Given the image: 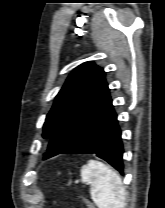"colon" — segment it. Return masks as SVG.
<instances>
[{"label":"colon","mask_w":165,"mask_h":208,"mask_svg":"<svg viewBox=\"0 0 165 208\" xmlns=\"http://www.w3.org/2000/svg\"><path fill=\"white\" fill-rule=\"evenodd\" d=\"M80 197L84 201V203L87 205L88 208H94L93 205L88 200H86L84 196L81 195Z\"/></svg>","instance_id":"colon-1"}]
</instances>
